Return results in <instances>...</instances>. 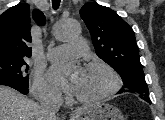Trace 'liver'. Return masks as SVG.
<instances>
[{"label": "liver", "instance_id": "1", "mask_svg": "<svg viewBox=\"0 0 165 120\" xmlns=\"http://www.w3.org/2000/svg\"><path fill=\"white\" fill-rule=\"evenodd\" d=\"M41 118L38 103L10 87L0 86V120H42Z\"/></svg>", "mask_w": 165, "mask_h": 120}]
</instances>
